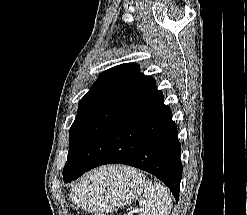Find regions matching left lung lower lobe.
<instances>
[{
  "label": "left lung lower lobe",
  "instance_id": "left-lung-lower-lobe-1",
  "mask_svg": "<svg viewBox=\"0 0 247 215\" xmlns=\"http://www.w3.org/2000/svg\"><path fill=\"white\" fill-rule=\"evenodd\" d=\"M163 99L152 79L101 138L83 141L64 167V182L97 166L120 163L155 175L178 201L181 145L171 110Z\"/></svg>",
  "mask_w": 247,
  "mask_h": 215
}]
</instances>
